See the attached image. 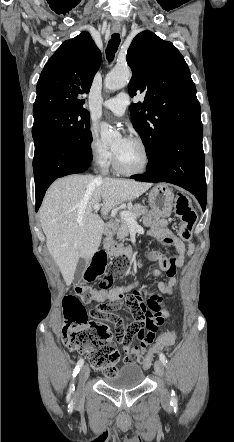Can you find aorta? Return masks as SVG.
<instances>
[{
    "label": "aorta",
    "mask_w": 234,
    "mask_h": 442,
    "mask_svg": "<svg viewBox=\"0 0 234 442\" xmlns=\"http://www.w3.org/2000/svg\"><path fill=\"white\" fill-rule=\"evenodd\" d=\"M131 78V71L129 67L114 68L105 78V88L110 91H116L125 87ZM101 139L104 143L111 144L119 134L112 130L106 123L101 125Z\"/></svg>",
    "instance_id": "aorta-1"
}]
</instances>
